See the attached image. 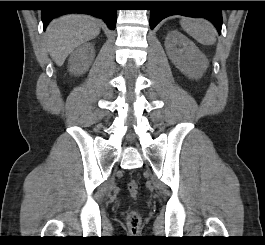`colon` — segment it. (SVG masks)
<instances>
[{"label": "colon", "instance_id": "colon-1", "mask_svg": "<svg viewBox=\"0 0 265 245\" xmlns=\"http://www.w3.org/2000/svg\"><path fill=\"white\" fill-rule=\"evenodd\" d=\"M128 190L133 198H136L139 191V185L136 181H130L128 184ZM127 221L132 235L136 236L139 233V227L141 225V216L137 210H130L127 215Z\"/></svg>", "mask_w": 265, "mask_h": 245}]
</instances>
